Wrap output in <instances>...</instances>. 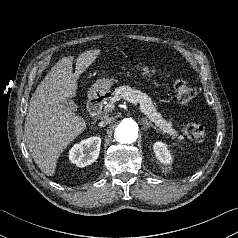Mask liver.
Returning a JSON list of instances; mask_svg holds the SVG:
<instances>
[{"instance_id": "1", "label": "liver", "mask_w": 238, "mask_h": 238, "mask_svg": "<svg viewBox=\"0 0 238 238\" xmlns=\"http://www.w3.org/2000/svg\"><path fill=\"white\" fill-rule=\"evenodd\" d=\"M99 49L80 54L72 73L73 56L60 59L32 95L24 138L38 167L53 176L63 150L86 128L85 120L63 105L76 96L79 76L95 61Z\"/></svg>"}]
</instances>
